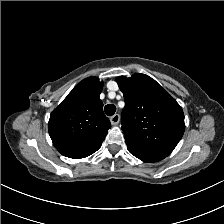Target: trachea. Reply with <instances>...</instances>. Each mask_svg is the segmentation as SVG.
Returning <instances> with one entry per match:
<instances>
[{"label": "trachea", "instance_id": "obj_1", "mask_svg": "<svg viewBox=\"0 0 224 224\" xmlns=\"http://www.w3.org/2000/svg\"><path fill=\"white\" fill-rule=\"evenodd\" d=\"M104 111L107 116H113L116 111V107L113 104H109L105 106Z\"/></svg>", "mask_w": 224, "mask_h": 224}]
</instances>
